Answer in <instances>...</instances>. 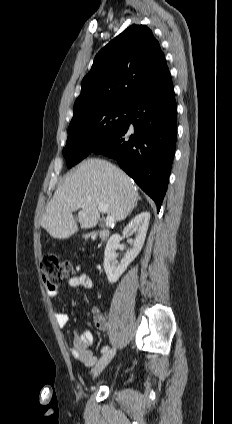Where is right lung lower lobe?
<instances>
[{
	"mask_svg": "<svg viewBox=\"0 0 232 424\" xmlns=\"http://www.w3.org/2000/svg\"><path fill=\"white\" fill-rule=\"evenodd\" d=\"M177 136V107L170 72L131 106L128 122L92 153L116 159L156 203L159 212Z\"/></svg>",
	"mask_w": 232,
	"mask_h": 424,
	"instance_id": "right-lung-lower-lobe-1",
	"label": "right lung lower lobe"
}]
</instances>
